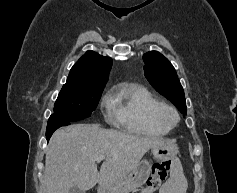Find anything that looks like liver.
Masks as SVG:
<instances>
[{"instance_id": "1", "label": "liver", "mask_w": 237, "mask_h": 193, "mask_svg": "<svg viewBox=\"0 0 237 193\" xmlns=\"http://www.w3.org/2000/svg\"><path fill=\"white\" fill-rule=\"evenodd\" d=\"M165 140L104 129L99 124H74L57 130L46 150L45 193L83 191L107 185L130 174L144 154ZM105 155L100 171L96 158Z\"/></svg>"}]
</instances>
